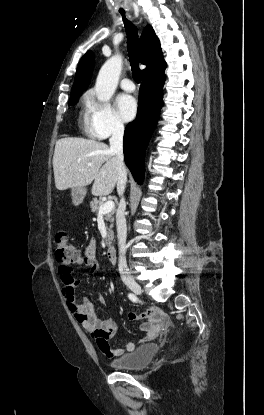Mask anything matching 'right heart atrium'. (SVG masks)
Here are the masks:
<instances>
[{"label":"right heart atrium","instance_id":"d8ad5b80","mask_svg":"<svg viewBox=\"0 0 264 415\" xmlns=\"http://www.w3.org/2000/svg\"><path fill=\"white\" fill-rule=\"evenodd\" d=\"M89 107L90 126L97 137L106 138L124 130L123 121L110 104L91 99Z\"/></svg>","mask_w":264,"mask_h":415}]
</instances>
